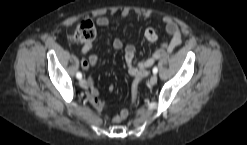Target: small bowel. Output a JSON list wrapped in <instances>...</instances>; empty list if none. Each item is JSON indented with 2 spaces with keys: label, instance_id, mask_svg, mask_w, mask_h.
Returning a JSON list of instances; mask_svg holds the SVG:
<instances>
[{
  "label": "small bowel",
  "instance_id": "1",
  "mask_svg": "<svg viewBox=\"0 0 247 145\" xmlns=\"http://www.w3.org/2000/svg\"><path fill=\"white\" fill-rule=\"evenodd\" d=\"M125 16L126 13L124 12ZM162 24L165 27L167 33L170 35V41L168 43L161 44L155 51L152 56L148 59L136 62L135 61V47L132 44H127L124 47V56L125 61L128 67V72L135 78L134 81L138 83L147 77L148 71L147 69L151 67L156 60L161 58L165 53L171 52L174 48L179 46L182 42L181 29L179 25L170 17H164L162 19ZM110 21L107 17L101 16L96 19V24L98 27H107ZM144 37L149 42H155L158 39V34L155 29L149 27L144 31ZM112 46L116 50H120L123 48V42L116 38L112 42ZM92 49V44H85L82 47V53L87 55L90 53ZM99 63V58L95 54H89L88 56H84L81 59V67L84 70H88L90 67L97 66ZM87 86L89 88L86 93V97L89 102L93 105V107L98 111L102 112L106 109L105 103L100 99L98 91L95 89V78L93 76L87 77ZM108 91H113V86L110 85L108 87ZM127 116V111L122 110L118 114L106 115L105 119L111 123H119Z\"/></svg>",
  "mask_w": 247,
  "mask_h": 145
}]
</instances>
